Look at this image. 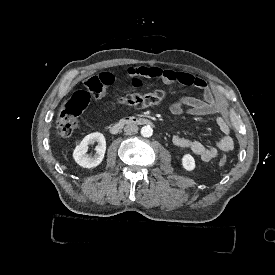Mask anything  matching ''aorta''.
Listing matches in <instances>:
<instances>
[{
  "label": "aorta",
  "mask_w": 275,
  "mask_h": 275,
  "mask_svg": "<svg viewBox=\"0 0 275 275\" xmlns=\"http://www.w3.org/2000/svg\"><path fill=\"white\" fill-rule=\"evenodd\" d=\"M152 134H153V129L150 125H146L141 128V135L143 137H151Z\"/></svg>",
  "instance_id": "762f6f07"
}]
</instances>
